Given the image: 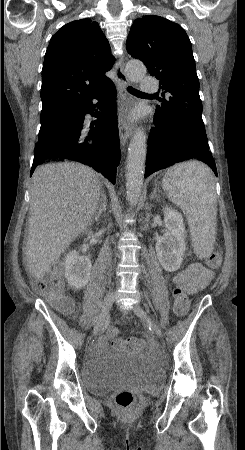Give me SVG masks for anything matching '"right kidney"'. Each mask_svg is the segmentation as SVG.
Segmentation results:
<instances>
[{"instance_id": "ca27d5eb", "label": "right kidney", "mask_w": 245, "mask_h": 450, "mask_svg": "<svg viewBox=\"0 0 245 450\" xmlns=\"http://www.w3.org/2000/svg\"><path fill=\"white\" fill-rule=\"evenodd\" d=\"M65 278L70 287L75 290L82 289L89 281L92 264L87 256H81L76 251L65 256Z\"/></svg>"}]
</instances>
